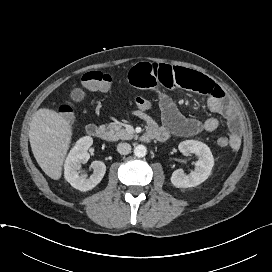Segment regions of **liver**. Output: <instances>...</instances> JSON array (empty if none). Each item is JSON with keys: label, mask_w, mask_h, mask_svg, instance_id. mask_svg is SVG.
Masks as SVG:
<instances>
[{"label": "liver", "mask_w": 272, "mask_h": 272, "mask_svg": "<svg viewBox=\"0 0 272 272\" xmlns=\"http://www.w3.org/2000/svg\"><path fill=\"white\" fill-rule=\"evenodd\" d=\"M72 138V126L60 113L41 108L30 122L29 139L34 157L44 173L54 180L62 166Z\"/></svg>", "instance_id": "liver-1"}]
</instances>
